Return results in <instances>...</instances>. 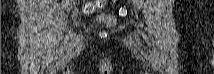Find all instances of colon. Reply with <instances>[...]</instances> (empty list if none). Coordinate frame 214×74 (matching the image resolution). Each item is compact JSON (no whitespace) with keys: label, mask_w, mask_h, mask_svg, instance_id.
Here are the masks:
<instances>
[{"label":"colon","mask_w":214,"mask_h":74,"mask_svg":"<svg viewBox=\"0 0 214 74\" xmlns=\"http://www.w3.org/2000/svg\"><path fill=\"white\" fill-rule=\"evenodd\" d=\"M106 3V0H98L94 2H88L84 6V11L85 12H93L97 8H102ZM97 19L99 22L105 24L107 27H114L116 24V18L108 13L105 12H100L97 15Z\"/></svg>","instance_id":"1"}]
</instances>
